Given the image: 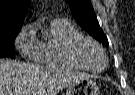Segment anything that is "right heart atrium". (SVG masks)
<instances>
[{
	"instance_id": "obj_1",
	"label": "right heart atrium",
	"mask_w": 135,
	"mask_h": 95,
	"mask_svg": "<svg viewBox=\"0 0 135 95\" xmlns=\"http://www.w3.org/2000/svg\"><path fill=\"white\" fill-rule=\"evenodd\" d=\"M15 45L18 51L27 59L32 61L39 60L40 44L35 38L32 25L24 26L18 33Z\"/></svg>"
}]
</instances>
